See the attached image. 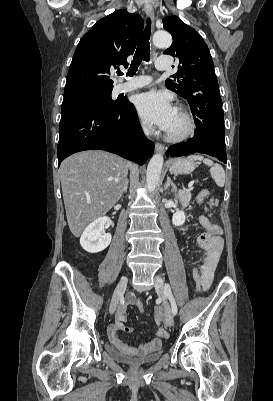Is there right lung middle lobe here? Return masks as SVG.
<instances>
[{"mask_svg":"<svg viewBox=\"0 0 273 401\" xmlns=\"http://www.w3.org/2000/svg\"><path fill=\"white\" fill-rule=\"evenodd\" d=\"M111 92L112 89L64 96L61 112L63 113L74 108L87 106L102 108L115 107L120 104L121 101L112 100Z\"/></svg>","mask_w":273,"mask_h":401,"instance_id":"1","label":"right lung middle lobe"}]
</instances>
